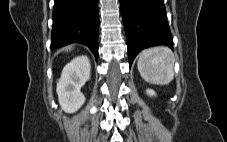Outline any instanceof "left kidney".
Wrapping results in <instances>:
<instances>
[{
  "label": "left kidney",
  "mask_w": 227,
  "mask_h": 142,
  "mask_svg": "<svg viewBox=\"0 0 227 142\" xmlns=\"http://www.w3.org/2000/svg\"><path fill=\"white\" fill-rule=\"evenodd\" d=\"M146 93H147V95H149V96H156L155 91L152 90V89H147V90H146Z\"/></svg>",
  "instance_id": "1"
}]
</instances>
